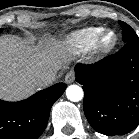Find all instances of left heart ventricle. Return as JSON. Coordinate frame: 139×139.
<instances>
[{"mask_svg": "<svg viewBox=\"0 0 139 139\" xmlns=\"http://www.w3.org/2000/svg\"><path fill=\"white\" fill-rule=\"evenodd\" d=\"M112 39H113V35H112V34H109V35L106 37L105 41H106V42H110Z\"/></svg>", "mask_w": 139, "mask_h": 139, "instance_id": "b2bd125f", "label": "left heart ventricle"}]
</instances>
